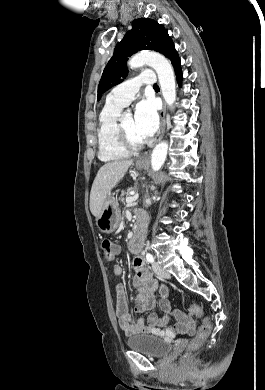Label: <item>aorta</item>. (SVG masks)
<instances>
[{"instance_id":"1","label":"aorta","mask_w":265,"mask_h":390,"mask_svg":"<svg viewBox=\"0 0 265 390\" xmlns=\"http://www.w3.org/2000/svg\"><path fill=\"white\" fill-rule=\"evenodd\" d=\"M128 65L135 69L148 65L152 67L159 79L163 98L169 107H172L176 100V86L174 71L170 62L161 54L155 52H142L133 56ZM130 115L128 110L126 116ZM168 152V143L163 141L155 146L151 155V166L153 171H158L164 164Z\"/></svg>"}]
</instances>
